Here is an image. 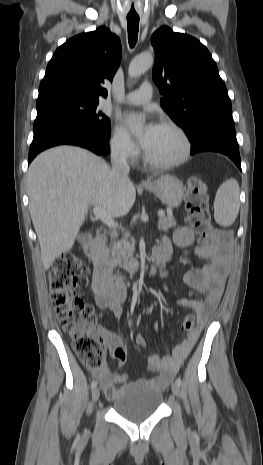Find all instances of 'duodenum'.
<instances>
[{
	"label": "duodenum",
	"instance_id": "410a0bca",
	"mask_svg": "<svg viewBox=\"0 0 263 465\" xmlns=\"http://www.w3.org/2000/svg\"><path fill=\"white\" fill-rule=\"evenodd\" d=\"M107 237L98 235L85 245V254L93 265V281L95 289L103 294L116 292L123 284L125 277L113 275L107 259L106 252ZM169 253H162L154 257V262L148 270L150 276L155 275L157 270L168 260Z\"/></svg>",
	"mask_w": 263,
	"mask_h": 465
}]
</instances>
